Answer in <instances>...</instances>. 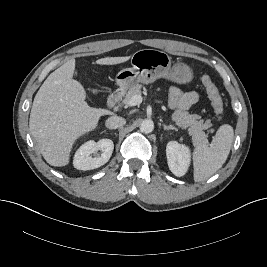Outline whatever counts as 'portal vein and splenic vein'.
<instances>
[{"instance_id":"18ae733b","label":"portal vein and splenic vein","mask_w":267,"mask_h":267,"mask_svg":"<svg viewBox=\"0 0 267 267\" xmlns=\"http://www.w3.org/2000/svg\"><path fill=\"white\" fill-rule=\"evenodd\" d=\"M142 96L141 95H135L131 98V100L128 103V106H136L142 103Z\"/></svg>"}]
</instances>
